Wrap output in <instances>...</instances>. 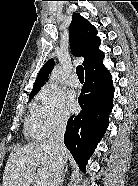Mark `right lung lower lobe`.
Masks as SVG:
<instances>
[{
  "label": "right lung lower lobe",
  "instance_id": "right-lung-lower-lobe-1",
  "mask_svg": "<svg viewBox=\"0 0 138 186\" xmlns=\"http://www.w3.org/2000/svg\"><path fill=\"white\" fill-rule=\"evenodd\" d=\"M113 96L114 87L110 73L85 77L78 98L82 110L78 115L70 117L64 136L65 146L83 171L107 130Z\"/></svg>",
  "mask_w": 138,
  "mask_h": 186
}]
</instances>
